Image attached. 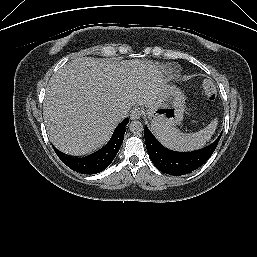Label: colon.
I'll list each match as a JSON object with an SVG mask.
<instances>
[{
  "label": "colon",
  "mask_w": 257,
  "mask_h": 257,
  "mask_svg": "<svg viewBox=\"0 0 257 257\" xmlns=\"http://www.w3.org/2000/svg\"><path fill=\"white\" fill-rule=\"evenodd\" d=\"M202 91H203L205 102L207 104H210L215 99L217 94L215 85L209 79H205L202 82Z\"/></svg>",
  "instance_id": "1"
}]
</instances>
